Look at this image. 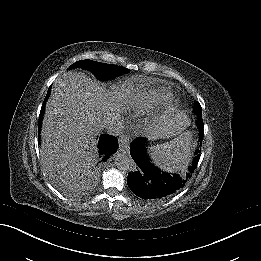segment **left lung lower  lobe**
I'll return each instance as SVG.
<instances>
[{
  "label": "left lung lower lobe",
  "mask_w": 261,
  "mask_h": 261,
  "mask_svg": "<svg viewBox=\"0 0 261 261\" xmlns=\"http://www.w3.org/2000/svg\"><path fill=\"white\" fill-rule=\"evenodd\" d=\"M202 134L204 132L201 129ZM146 146L147 140L143 137L135 139L130 144V154L138 168L128 175L127 184L138 197L148 201H161L171 197L184 186L186 178L190 177V173L197 167L198 156L183 174H171L159 170L149 162Z\"/></svg>",
  "instance_id": "1"
}]
</instances>
